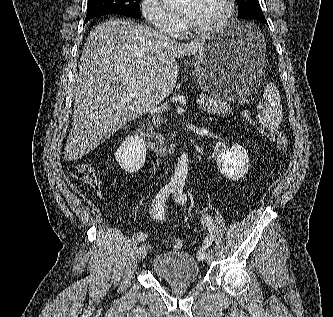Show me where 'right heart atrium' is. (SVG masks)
Returning <instances> with one entry per match:
<instances>
[{
	"label": "right heart atrium",
	"instance_id": "1",
	"mask_svg": "<svg viewBox=\"0 0 333 317\" xmlns=\"http://www.w3.org/2000/svg\"><path fill=\"white\" fill-rule=\"evenodd\" d=\"M141 12L151 25L163 33L176 35L182 29L181 24L163 8L159 0H142Z\"/></svg>",
	"mask_w": 333,
	"mask_h": 317
}]
</instances>
